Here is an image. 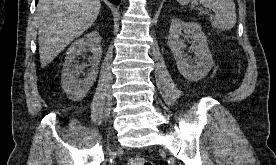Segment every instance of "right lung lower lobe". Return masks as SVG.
<instances>
[{
    "instance_id": "98d812e1",
    "label": "right lung lower lobe",
    "mask_w": 276,
    "mask_h": 165,
    "mask_svg": "<svg viewBox=\"0 0 276 165\" xmlns=\"http://www.w3.org/2000/svg\"><path fill=\"white\" fill-rule=\"evenodd\" d=\"M108 1H110L111 3H113L115 5H118L121 2V0H108ZM37 2H38V0H36V3Z\"/></svg>"
}]
</instances>
